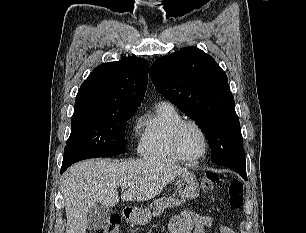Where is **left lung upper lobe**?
<instances>
[{
	"label": "left lung upper lobe",
	"mask_w": 306,
	"mask_h": 233,
	"mask_svg": "<svg viewBox=\"0 0 306 233\" xmlns=\"http://www.w3.org/2000/svg\"><path fill=\"white\" fill-rule=\"evenodd\" d=\"M150 75L157 91L195 120L206 135L212 162L246 164L234 97L226 73L210 55L188 47L157 59Z\"/></svg>",
	"instance_id": "1"
}]
</instances>
